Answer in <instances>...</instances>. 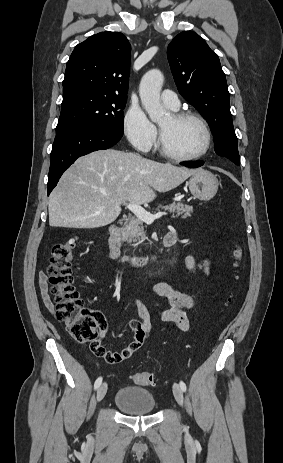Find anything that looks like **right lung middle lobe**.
<instances>
[{"label": "right lung middle lobe", "instance_id": "1", "mask_svg": "<svg viewBox=\"0 0 283 463\" xmlns=\"http://www.w3.org/2000/svg\"><path fill=\"white\" fill-rule=\"evenodd\" d=\"M126 97L83 93L62 102L56 134L83 127H98L123 134Z\"/></svg>", "mask_w": 283, "mask_h": 463}]
</instances>
